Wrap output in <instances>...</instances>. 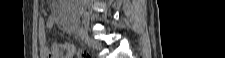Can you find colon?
Instances as JSON below:
<instances>
[{
  "label": "colon",
  "instance_id": "5ec220e1",
  "mask_svg": "<svg viewBox=\"0 0 225 58\" xmlns=\"http://www.w3.org/2000/svg\"><path fill=\"white\" fill-rule=\"evenodd\" d=\"M77 58H91V52L86 49H80L77 53Z\"/></svg>",
  "mask_w": 225,
  "mask_h": 58
}]
</instances>
